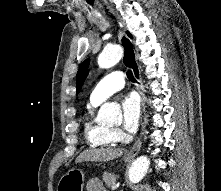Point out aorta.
Wrapping results in <instances>:
<instances>
[{"label":"aorta","mask_w":221,"mask_h":191,"mask_svg":"<svg viewBox=\"0 0 221 191\" xmlns=\"http://www.w3.org/2000/svg\"><path fill=\"white\" fill-rule=\"evenodd\" d=\"M122 57V49L119 45L107 46L98 56V65L100 68H110L117 64ZM99 117L104 121H113L121 117L119 107L113 103H105L101 106ZM150 166V160L147 156L138 157L129 169V179L132 183L140 182L147 173Z\"/></svg>","instance_id":"obj_1"}]
</instances>
